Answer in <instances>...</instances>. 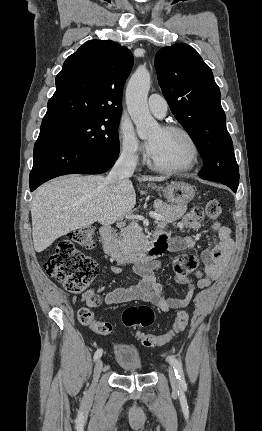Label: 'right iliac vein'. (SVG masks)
Here are the masks:
<instances>
[{"instance_id": "63e3f726", "label": "right iliac vein", "mask_w": 262, "mask_h": 431, "mask_svg": "<svg viewBox=\"0 0 262 431\" xmlns=\"http://www.w3.org/2000/svg\"><path fill=\"white\" fill-rule=\"evenodd\" d=\"M103 363L101 359H98L94 366V378L97 380L102 372Z\"/></svg>"}]
</instances>
